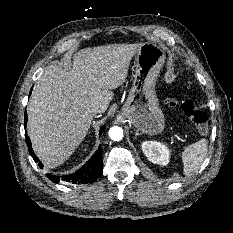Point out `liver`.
<instances>
[{
	"mask_svg": "<svg viewBox=\"0 0 233 233\" xmlns=\"http://www.w3.org/2000/svg\"><path fill=\"white\" fill-rule=\"evenodd\" d=\"M142 44L81 49L71 70L45 68L27 106V133L48 167L63 164L85 138L96 113H104L113 89L127 78L130 61ZM97 109V112H95Z\"/></svg>",
	"mask_w": 233,
	"mask_h": 233,
	"instance_id": "obj_1",
	"label": "liver"
}]
</instances>
